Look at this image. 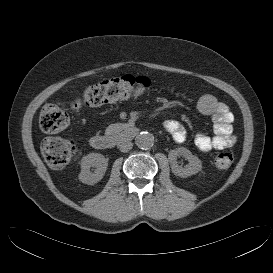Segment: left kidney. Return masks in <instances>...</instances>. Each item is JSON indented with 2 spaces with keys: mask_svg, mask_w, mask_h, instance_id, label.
<instances>
[{
  "mask_svg": "<svg viewBox=\"0 0 273 273\" xmlns=\"http://www.w3.org/2000/svg\"><path fill=\"white\" fill-rule=\"evenodd\" d=\"M183 156L188 160V164L184 167H181L177 164V157ZM170 165L172 172L181 178H187L192 175L197 174L201 168L202 163L201 160L193 155L187 148L179 147L174 150H171L169 155Z\"/></svg>",
  "mask_w": 273,
  "mask_h": 273,
  "instance_id": "obj_1",
  "label": "left kidney"
}]
</instances>
